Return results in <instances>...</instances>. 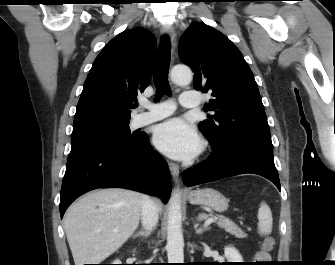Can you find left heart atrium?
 Returning <instances> with one entry per match:
<instances>
[{
  "label": "left heart atrium",
  "mask_w": 335,
  "mask_h": 265,
  "mask_svg": "<svg viewBox=\"0 0 335 265\" xmlns=\"http://www.w3.org/2000/svg\"><path fill=\"white\" fill-rule=\"evenodd\" d=\"M153 142L161 152L174 159H189L200 149V139L194 129L179 118L158 125Z\"/></svg>",
  "instance_id": "obj_1"
}]
</instances>
